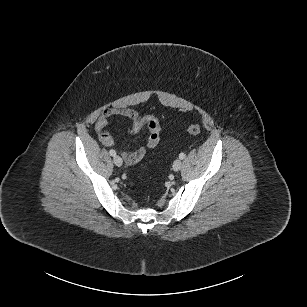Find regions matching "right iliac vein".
<instances>
[{
  "mask_svg": "<svg viewBox=\"0 0 307 307\" xmlns=\"http://www.w3.org/2000/svg\"><path fill=\"white\" fill-rule=\"evenodd\" d=\"M113 162L118 167L122 166V164H123L122 158L120 156H116V155L113 158Z\"/></svg>",
  "mask_w": 307,
  "mask_h": 307,
  "instance_id": "obj_1",
  "label": "right iliac vein"
}]
</instances>
